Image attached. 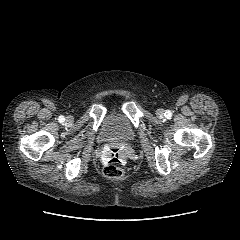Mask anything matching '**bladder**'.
Listing matches in <instances>:
<instances>
[{
  "label": "bladder",
  "mask_w": 240,
  "mask_h": 240,
  "mask_svg": "<svg viewBox=\"0 0 240 240\" xmlns=\"http://www.w3.org/2000/svg\"><path fill=\"white\" fill-rule=\"evenodd\" d=\"M134 138L135 129L122 111H111L103 119L100 127V139L102 141L128 143Z\"/></svg>",
  "instance_id": "31cf9c89"
}]
</instances>
